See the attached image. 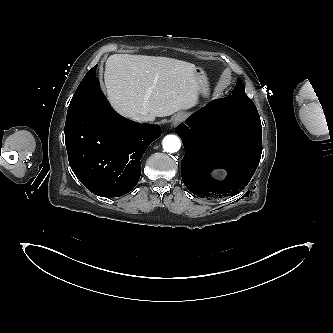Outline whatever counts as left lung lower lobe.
<instances>
[{
  "label": "left lung lower lobe",
  "mask_w": 333,
  "mask_h": 333,
  "mask_svg": "<svg viewBox=\"0 0 333 333\" xmlns=\"http://www.w3.org/2000/svg\"><path fill=\"white\" fill-rule=\"evenodd\" d=\"M180 124L185 156L181 175L185 186L205 198L234 196L247 186L262 153V127L255 105L237 102L232 95L210 102ZM228 170L217 183L212 168Z\"/></svg>",
  "instance_id": "0a47b994"
}]
</instances>
